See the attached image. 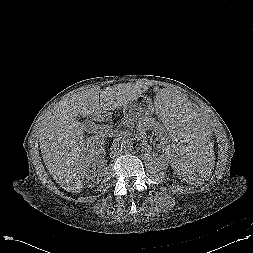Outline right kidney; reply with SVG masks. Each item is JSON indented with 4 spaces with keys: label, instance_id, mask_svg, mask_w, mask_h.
I'll list each match as a JSON object with an SVG mask.
<instances>
[{
    "label": "right kidney",
    "instance_id": "1",
    "mask_svg": "<svg viewBox=\"0 0 253 253\" xmlns=\"http://www.w3.org/2000/svg\"><path fill=\"white\" fill-rule=\"evenodd\" d=\"M104 140L98 136L87 138L80 153L79 172L84 181L89 187H94L101 181V176L97 172H93L97 156L103 153Z\"/></svg>",
    "mask_w": 253,
    "mask_h": 253
}]
</instances>
